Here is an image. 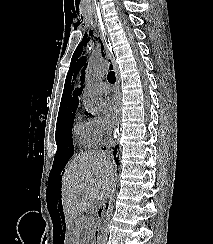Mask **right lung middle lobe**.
<instances>
[{
	"label": "right lung middle lobe",
	"instance_id": "obj_1",
	"mask_svg": "<svg viewBox=\"0 0 213 244\" xmlns=\"http://www.w3.org/2000/svg\"><path fill=\"white\" fill-rule=\"evenodd\" d=\"M75 111L76 110H71L58 116L56 126L57 152L49 179H54L59 170L65 167L67 161L73 155L74 146L72 142V124L74 121Z\"/></svg>",
	"mask_w": 213,
	"mask_h": 244
}]
</instances>
